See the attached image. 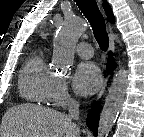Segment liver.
Segmentation results:
<instances>
[{"mask_svg": "<svg viewBox=\"0 0 144 137\" xmlns=\"http://www.w3.org/2000/svg\"><path fill=\"white\" fill-rule=\"evenodd\" d=\"M72 118L55 109L23 104L11 107L2 118L0 137H79Z\"/></svg>", "mask_w": 144, "mask_h": 137, "instance_id": "6515ba94", "label": "liver"}]
</instances>
